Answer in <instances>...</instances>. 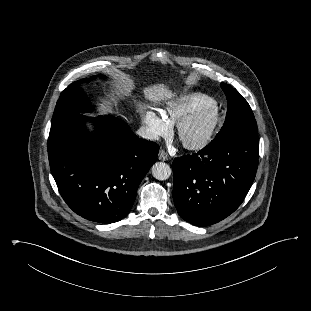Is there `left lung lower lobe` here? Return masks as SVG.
I'll return each mask as SVG.
<instances>
[{
	"label": "left lung lower lobe",
	"mask_w": 311,
	"mask_h": 311,
	"mask_svg": "<svg viewBox=\"0 0 311 311\" xmlns=\"http://www.w3.org/2000/svg\"><path fill=\"white\" fill-rule=\"evenodd\" d=\"M257 135L211 141L173 162V200L179 215L196 226L215 224L243 202L258 167Z\"/></svg>",
	"instance_id": "obj_1"
}]
</instances>
